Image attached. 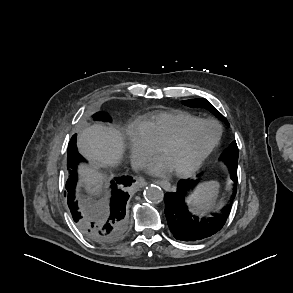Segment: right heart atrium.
Masks as SVG:
<instances>
[{
  "label": "right heart atrium",
  "mask_w": 293,
  "mask_h": 293,
  "mask_svg": "<svg viewBox=\"0 0 293 293\" xmlns=\"http://www.w3.org/2000/svg\"><path fill=\"white\" fill-rule=\"evenodd\" d=\"M127 137L131 160L134 165L139 166L155 151V146L141 124L130 127L127 131Z\"/></svg>",
  "instance_id": "right-heart-atrium-1"
}]
</instances>
